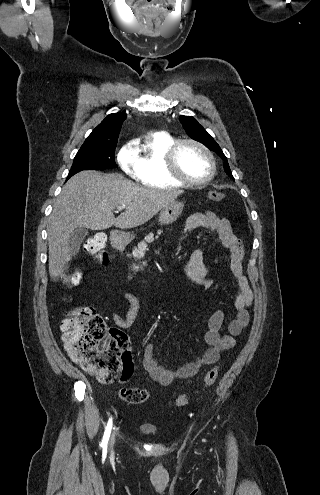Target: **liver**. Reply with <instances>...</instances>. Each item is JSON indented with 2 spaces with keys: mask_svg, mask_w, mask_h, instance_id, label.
I'll return each instance as SVG.
<instances>
[{
  "mask_svg": "<svg viewBox=\"0 0 320 495\" xmlns=\"http://www.w3.org/2000/svg\"><path fill=\"white\" fill-rule=\"evenodd\" d=\"M182 193L143 188L120 174L83 171L74 175L63 186L49 218L50 277L62 274L71 260L68 241L74 229L104 230L113 225L134 228L149 221ZM120 206L126 210L115 218L113 211Z\"/></svg>",
  "mask_w": 320,
  "mask_h": 495,
  "instance_id": "liver-1",
  "label": "liver"
}]
</instances>
